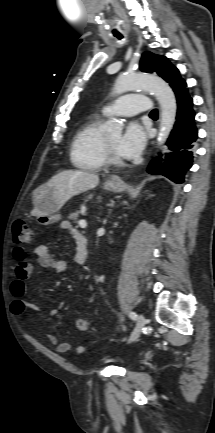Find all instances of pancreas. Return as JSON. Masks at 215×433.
Listing matches in <instances>:
<instances>
[{
	"mask_svg": "<svg viewBox=\"0 0 215 433\" xmlns=\"http://www.w3.org/2000/svg\"><path fill=\"white\" fill-rule=\"evenodd\" d=\"M79 214H80L79 211H76V212H74V213H71V214L68 216V219L71 220V221H73V222H76V223H77V222H78L77 220H78Z\"/></svg>",
	"mask_w": 215,
	"mask_h": 433,
	"instance_id": "1",
	"label": "pancreas"
}]
</instances>
